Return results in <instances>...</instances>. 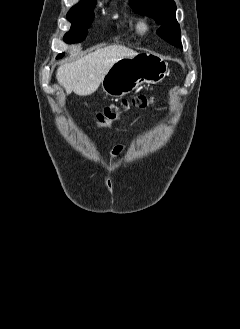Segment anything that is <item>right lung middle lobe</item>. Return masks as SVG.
I'll list each match as a JSON object with an SVG mask.
<instances>
[{
  "instance_id": "obj_1",
  "label": "right lung middle lobe",
  "mask_w": 240,
  "mask_h": 329,
  "mask_svg": "<svg viewBox=\"0 0 240 329\" xmlns=\"http://www.w3.org/2000/svg\"><path fill=\"white\" fill-rule=\"evenodd\" d=\"M95 6L83 9H71L67 14V19L72 23L71 29L64 36L66 43H75L82 41L87 35V28L90 26L94 13ZM64 56L60 54L57 58Z\"/></svg>"
}]
</instances>
